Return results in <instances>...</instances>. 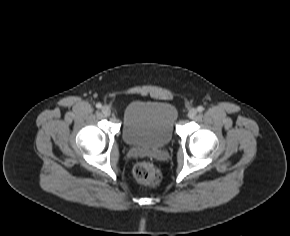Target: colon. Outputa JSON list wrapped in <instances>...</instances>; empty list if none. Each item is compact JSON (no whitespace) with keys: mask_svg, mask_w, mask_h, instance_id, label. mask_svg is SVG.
<instances>
[{"mask_svg":"<svg viewBox=\"0 0 290 236\" xmlns=\"http://www.w3.org/2000/svg\"><path fill=\"white\" fill-rule=\"evenodd\" d=\"M134 176L138 182L147 186H156L161 182L159 168L151 162L143 161L135 165Z\"/></svg>","mask_w":290,"mask_h":236,"instance_id":"colon-1","label":"colon"}]
</instances>
